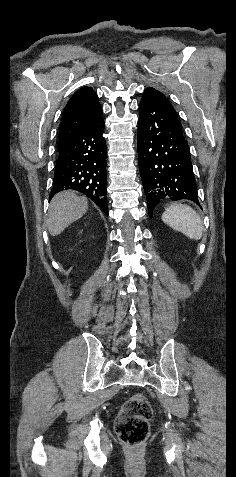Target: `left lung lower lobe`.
Listing matches in <instances>:
<instances>
[{
  "mask_svg": "<svg viewBox=\"0 0 236 477\" xmlns=\"http://www.w3.org/2000/svg\"><path fill=\"white\" fill-rule=\"evenodd\" d=\"M137 147L150 217L165 199H186L199 205L190 149L178 115L152 87L145 90L140 103Z\"/></svg>",
  "mask_w": 236,
  "mask_h": 477,
  "instance_id": "obj_1",
  "label": "left lung lower lobe"
}]
</instances>
